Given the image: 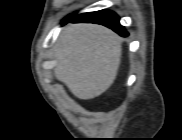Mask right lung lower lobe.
Masks as SVG:
<instances>
[{
  "instance_id": "98d812e1",
  "label": "right lung lower lobe",
  "mask_w": 182,
  "mask_h": 140,
  "mask_svg": "<svg viewBox=\"0 0 182 140\" xmlns=\"http://www.w3.org/2000/svg\"><path fill=\"white\" fill-rule=\"evenodd\" d=\"M67 21L97 23L111 28L123 37L128 36V32L119 23V17L114 12L109 10H101L72 16Z\"/></svg>"
}]
</instances>
